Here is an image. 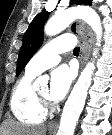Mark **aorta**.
I'll use <instances>...</instances> for the list:
<instances>
[{"mask_svg":"<svg viewBox=\"0 0 112 135\" xmlns=\"http://www.w3.org/2000/svg\"><path fill=\"white\" fill-rule=\"evenodd\" d=\"M75 19H82L92 28L96 34V45L99 47L102 38L101 20L96 11L88 6L70 8L62 13H56L45 25L44 32L48 36H54L63 31ZM98 50V48H94V57H96ZM94 69L95 64L92 60L81 72L63 108L57 135H74L77 121L85 105ZM46 81L44 77H39L36 83Z\"/></svg>","mask_w":112,"mask_h":135,"instance_id":"obj_1","label":"aorta"}]
</instances>
